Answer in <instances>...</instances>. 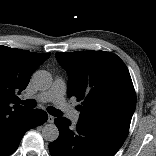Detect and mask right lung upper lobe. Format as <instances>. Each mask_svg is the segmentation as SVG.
<instances>
[{"instance_id":"obj_1","label":"right lung upper lobe","mask_w":156,"mask_h":156,"mask_svg":"<svg viewBox=\"0 0 156 156\" xmlns=\"http://www.w3.org/2000/svg\"><path fill=\"white\" fill-rule=\"evenodd\" d=\"M49 56L0 45V114L27 109L15 104V94L26 88L32 73Z\"/></svg>"}]
</instances>
